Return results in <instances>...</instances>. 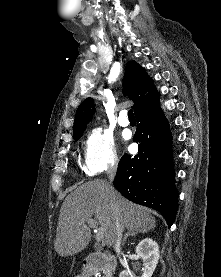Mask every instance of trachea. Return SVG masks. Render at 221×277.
<instances>
[{
  "mask_svg": "<svg viewBox=\"0 0 221 277\" xmlns=\"http://www.w3.org/2000/svg\"><path fill=\"white\" fill-rule=\"evenodd\" d=\"M128 118H129V119H135L133 110H129V111H128Z\"/></svg>",
  "mask_w": 221,
  "mask_h": 277,
  "instance_id": "trachea-1",
  "label": "trachea"
}]
</instances>
